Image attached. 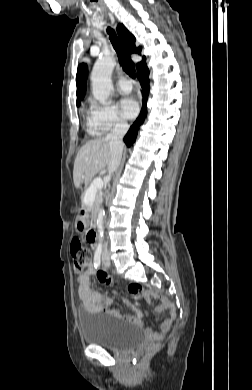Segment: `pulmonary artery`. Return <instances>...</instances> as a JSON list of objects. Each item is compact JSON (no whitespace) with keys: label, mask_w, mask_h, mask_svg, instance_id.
Listing matches in <instances>:
<instances>
[{"label":"pulmonary artery","mask_w":252,"mask_h":390,"mask_svg":"<svg viewBox=\"0 0 252 390\" xmlns=\"http://www.w3.org/2000/svg\"><path fill=\"white\" fill-rule=\"evenodd\" d=\"M117 87L122 93H129L132 90L131 83L124 78H121L117 81Z\"/></svg>","instance_id":"pulmonary-artery-1"}]
</instances>
